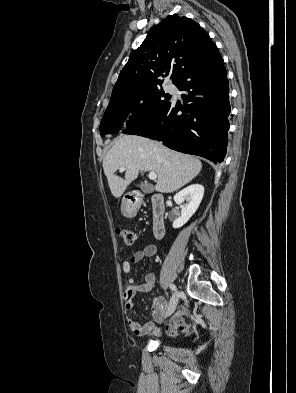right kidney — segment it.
I'll list each match as a JSON object with an SVG mask.
<instances>
[{"instance_id": "1", "label": "right kidney", "mask_w": 296, "mask_h": 393, "mask_svg": "<svg viewBox=\"0 0 296 393\" xmlns=\"http://www.w3.org/2000/svg\"><path fill=\"white\" fill-rule=\"evenodd\" d=\"M204 195V187L192 184L174 196V201L180 205L181 216L174 220L173 228H180L186 224L198 209ZM186 204H182L184 201Z\"/></svg>"}]
</instances>
